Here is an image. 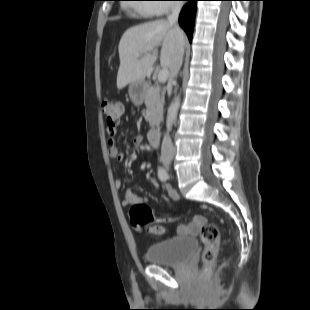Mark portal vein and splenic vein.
Instances as JSON below:
<instances>
[{
	"label": "portal vein and splenic vein",
	"instance_id": "obj_1",
	"mask_svg": "<svg viewBox=\"0 0 310 310\" xmlns=\"http://www.w3.org/2000/svg\"><path fill=\"white\" fill-rule=\"evenodd\" d=\"M152 50H153V48H147L145 51L147 52V51H152ZM168 77H169L168 69L163 68V69H161L159 71V73H158V81L160 83H164L168 79Z\"/></svg>",
	"mask_w": 310,
	"mask_h": 310
}]
</instances>
